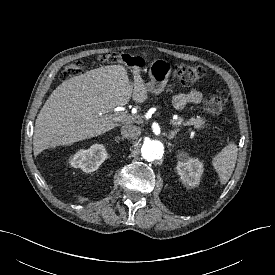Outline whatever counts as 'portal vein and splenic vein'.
<instances>
[{"instance_id":"portal-vein-and-splenic-vein-1","label":"portal vein and splenic vein","mask_w":275,"mask_h":275,"mask_svg":"<svg viewBox=\"0 0 275 275\" xmlns=\"http://www.w3.org/2000/svg\"><path fill=\"white\" fill-rule=\"evenodd\" d=\"M130 117L131 116H128L125 113H123V112H121L120 110H117V109H115L114 113L111 114V118L116 122L126 120ZM180 124L181 123H173V121H172V125H174V126H177V125H180Z\"/></svg>"}]
</instances>
